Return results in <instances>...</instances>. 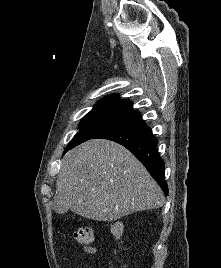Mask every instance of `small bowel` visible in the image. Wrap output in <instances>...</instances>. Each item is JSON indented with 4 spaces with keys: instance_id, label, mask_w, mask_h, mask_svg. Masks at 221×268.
<instances>
[{
    "instance_id": "small-bowel-1",
    "label": "small bowel",
    "mask_w": 221,
    "mask_h": 268,
    "mask_svg": "<svg viewBox=\"0 0 221 268\" xmlns=\"http://www.w3.org/2000/svg\"><path fill=\"white\" fill-rule=\"evenodd\" d=\"M83 250L85 251V253H87L88 255H92L96 252V248L93 246H85L83 248Z\"/></svg>"
}]
</instances>
